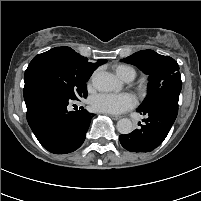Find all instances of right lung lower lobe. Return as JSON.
<instances>
[{"instance_id": "98d812e1", "label": "right lung lower lobe", "mask_w": 201, "mask_h": 201, "mask_svg": "<svg viewBox=\"0 0 201 201\" xmlns=\"http://www.w3.org/2000/svg\"><path fill=\"white\" fill-rule=\"evenodd\" d=\"M27 121L40 144L49 152L66 154L85 140L92 114L86 110L68 111L72 101L60 89L39 80L25 82Z\"/></svg>"}]
</instances>
